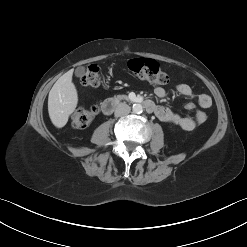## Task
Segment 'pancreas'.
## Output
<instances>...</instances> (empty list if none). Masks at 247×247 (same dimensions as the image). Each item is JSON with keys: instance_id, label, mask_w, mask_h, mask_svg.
I'll list each match as a JSON object with an SVG mask.
<instances>
[{"instance_id": "obj_1", "label": "pancreas", "mask_w": 247, "mask_h": 247, "mask_svg": "<svg viewBox=\"0 0 247 247\" xmlns=\"http://www.w3.org/2000/svg\"><path fill=\"white\" fill-rule=\"evenodd\" d=\"M114 98L119 101V100H122V99H124L126 97L124 95H117Z\"/></svg>"}]
</instances>
